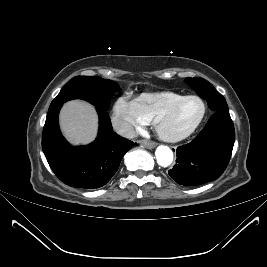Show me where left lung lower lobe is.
Here are the masks:
<instances>
[{
    "label": "left lung lower lobe",
    "mask_w": 267,
    "mask_h": 267,
    "mask_svg": "<svg viewBox=\"0 0 267 267\" xmlns=\"http://www.w3.org/2000/svg\"><path fill=\"white\" fill-rule=\"evenodd\" d=\"M235 140L229 111H215L189 144L177 148L170 177L180 185L195 186L217 179L227 167Z\"/></svg>",
    "instance_id": "0a47b994"
}]
</instances>
